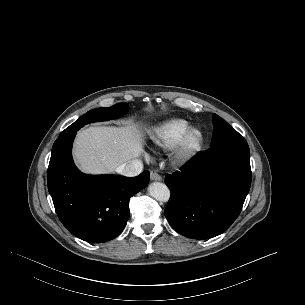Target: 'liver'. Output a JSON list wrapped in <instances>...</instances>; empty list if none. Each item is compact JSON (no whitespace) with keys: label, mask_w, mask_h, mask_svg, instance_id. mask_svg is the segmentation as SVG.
<instances>
[{"label":"liver","mask_w":305,"mask_h":305,"mask_svg":"<svg viewBox=\"0 0 305 305\" xmlns=\"http://www.w3.org/2000/svg\"><path fill=\"white\" fill-rule=\"evenodd\" d=\"M142 152L143 135L136 126H96L78 133L73 156L84 173L105 174Z\"/></svg>","instance_id":"obj_1"}]
</instances>
